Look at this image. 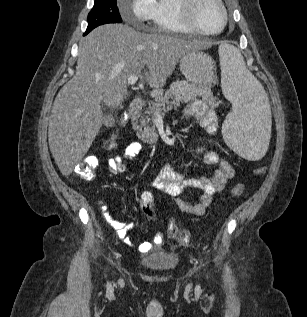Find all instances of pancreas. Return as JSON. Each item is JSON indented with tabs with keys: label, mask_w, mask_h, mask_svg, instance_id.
<instances>
[{
	"label": "pancreas",
	"mask_w": 307,
	"mask_h": 317,
	"mask_svg": "<svg viewBox=\"0 0 307 317\" xmlns=\"http://www.w3.org/2000/svg\"><path fill=\"white\" fill-rule=\"evenodd\" d=\"M207 89L203 86L189 83L185 80L173 82L165 92L155 91L156 102L144 112L133 118V127L137 130L138 138L144 143H154L158 139L155 127V114L157 111L168 112L176 109L180 103H188L197 97L205 98ZM168 105L165 107V105ZM139 119V123L138 120Z\"/></svg>",
	"instance_id": "pancreas-1"
}]
</instances>
